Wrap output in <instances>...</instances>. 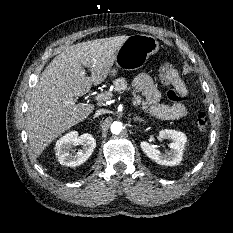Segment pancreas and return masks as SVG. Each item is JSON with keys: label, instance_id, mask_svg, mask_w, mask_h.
<instances>
[{"label": "pancreas", "instance_id": "1", "mask_svg": "<svg viewBox=\"0 0 233 233\" xmlns=\"http://www.w3.org/2000/svg\"><path fill=\"white\" fill-rule=\"evenodd\" d=\"M113 87L114 91L120 92V91H131L132 95L134 96L137 104L142 105V109L147 113L148 106L146 105V102L142 99V97L137 94L136 90H132V88L128 85L125 78H117L113 81Z\"/></svg>", "mask_w": 233, "mask_h": 233}]
</instances>
